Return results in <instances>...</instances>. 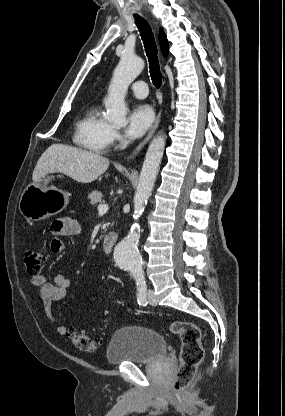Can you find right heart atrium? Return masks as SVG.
I'll return each mask as SVG.
<instances>
[{
  "label": "right heart atrium",
  "instance_id": "1",
  "mask_svg": "<svg viewBox=\"0 0 285 416\" xmlns=\"http://www.w3.org/2000/svg\"><path fill=\"white\" fill-rule=\"evenodd\" d=\"M121 140L122 138L118 129L112 127L108 138V146L115 147L121 142Z\"/></svg>",
  "mask_w": 285,
  "mask_h": 416
}]
</instances>
